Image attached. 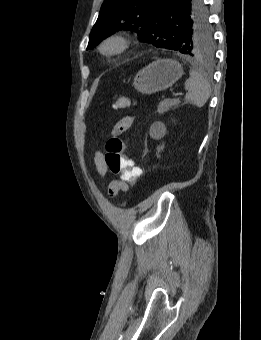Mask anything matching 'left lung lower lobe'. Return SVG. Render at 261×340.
Masks as SVG:
<instances>
[{"mask_svg": "<svg viewBox=\"0 0 261 340\" xmlns=\"http://www.w3.org/2000/svg\"><path fill=\"white\" fill-rule=\"evenodd\" d=\"M203 0H165L161 6L160 15L163 21L176 22L178 17H191Z\"/></svg>", "mask_w": 261, "mask_h": 340, "instance_id": "obj_1", "label": "left lung lower lobe"}]
</instances>
